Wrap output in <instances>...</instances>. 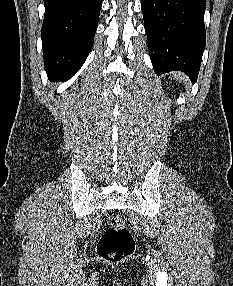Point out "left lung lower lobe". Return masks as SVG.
<instances>
[{
	"label": "left lung lower lobe",
	"mask_w": 233,
	"mask_h": 286,
	"mask_svg": "<svg viewBox=\"0 0 233 286\" xmlns=\"http://www.w3.org/2000/svg\"><path fill=\"white\" fill-rule=\"evenodd\" d=\"M157 74L180 70L196 81L206 45L205 0H141Z\"/></svg>",
	"instance_id": "0a47b994"
}]
</instances>
